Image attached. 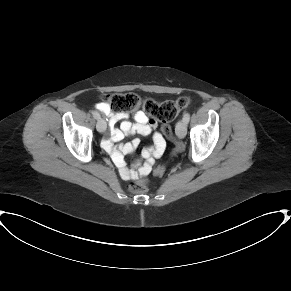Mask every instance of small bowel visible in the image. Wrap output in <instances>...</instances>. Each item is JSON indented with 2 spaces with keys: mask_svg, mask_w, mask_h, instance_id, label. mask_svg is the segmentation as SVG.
<instances>
[{
  "mask_svg": "<svg viewBox=\"0 0 291 291\" xmlns=\"http://www.w3.org/2000/svg\"><path fill=\"white\" fill-rule=\"evenodd\" d=\"M96 108L106 115L109 120L110 138L103 141V147L111 155L122 179L135 180L149 174L155 160L164 153L166 147L163 135L156 131L158 122L150 118L142 109L133 112L134 123L132 124L128 121V112L114 111L107 102L97 104ZM118 122H120L119 127L116 126ZM136 133L144 136L153 133V146L142 151L141 157L144 159V163L138 161L132 168H128L124 155L131 154L139 145V140L134 139L120 146H115L114 143L121 141L125 136ZM184 152L185 149L179 147L176 150L175 158L181 156Z\"/></svg>",
  "mask_w": 291,
  "mask_h": 291,
  "instance_id": "1",
  "label": "small bowel"
}]
</instances>
